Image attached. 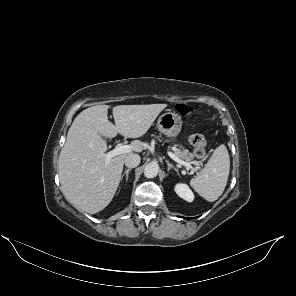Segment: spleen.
<instances>
[{
  "mask_svg": "<svg viewBox=\"0 0 296 296\" xmlns=\"http://www.w3.org/2000/svg\"><path fill=\"white\" fill-rule=\"evenodd\" d=\"M229 171V153L222 144L215 149L203 170L190 180V185L205 200L213 202L222 195Z\"/></svg>",
  "mask_w": 296,
  "mask_h": 296,
  "instance_id": "1",
  "label": "spleen"
}]
</instances>
